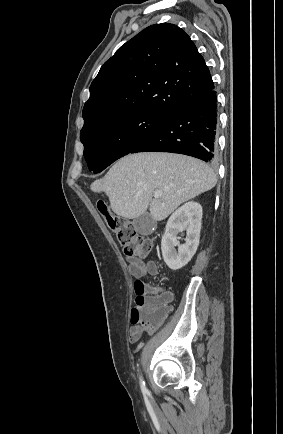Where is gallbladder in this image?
<instances>
[{"mask_svg":"<svg viewBox=\"0 0 283 434\" xmlns=\"http://www.w3.org/2000/svg\"><path fill=\"white\" fill-rule=\"evenodd\" d=\"M156 221L149 213H144L133 220V226L136 232L141 235H150L156 228Z\"/></svg>","mask_w":283,"mask_h":434,"instance_id":"bac80fb5","label":"gallbladder"}]
</instances>
